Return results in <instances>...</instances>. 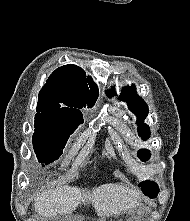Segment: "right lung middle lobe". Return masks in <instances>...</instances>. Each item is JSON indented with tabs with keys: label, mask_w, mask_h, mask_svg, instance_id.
I'll use <instances>...</instances> for the list:
<instances>
[{
	"label": "right lung middle lobe",
	"mask_w": 190,
	"mask_h": 221,
	"mask_svg": "<svg viewBox=\"0 0 190 221\" xmlns=\"http://www.w3.org/2000/svg\"><path fill=\"white\" fill-rule=\"evenodd\" d=\"M81 123H70L56 118L35 117L33 147L38 161L49 164L57 160L62 154L69 136Z\"/></svg>",
	"instance_id": "obj_1"
}]
</instances>
